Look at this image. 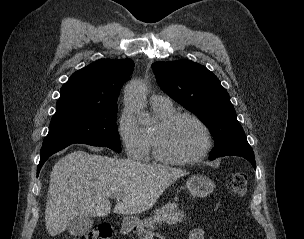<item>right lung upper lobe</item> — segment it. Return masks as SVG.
Wrapping results in <instances>:
<instances>
[{
    "instance_id": "right-lung-upper-lobe-1",
    "label": "right lung upper lobe",
    "mask_w": 304,
    "mask_h": 239,
    "mask_svg": "<svg viewBox=\"0 0 304 239\" xmlns=\"http://www.w3.org/2000/svg\"><path fill=\"white\" fill-rule=\"evenodd\" d=\"M133 67L131 59H101L76 71L61 87L56 112L117 105L120 89Z\"/></svg>"
}]
</instances>
